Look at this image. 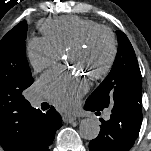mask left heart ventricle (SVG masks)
<instances>
[{
	"label": "left heart ventricle",
	"mask_w": 151,
	"mask_h": 151,
	"mask_svg": "<svg viewBox=\"0 0 151 151\" xmlns=\"http://www.w3.org/2000/svg\"><path fill=\"white\" fill-rule=\"evenodd\" d=\"M109 56V43L105 36L97 37L89 49L81 53L70 54V61L87 73L101 68Z\"/></svg>",
	"instance_id": "1"
}]
</instances>
